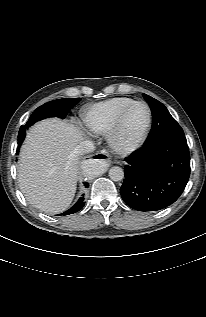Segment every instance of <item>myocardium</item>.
Here are the masks:
<instances>
[{
  "label": "myocardium",
  "instance_id": "1",
  "mask_svg": "<svg viewBox=\"0 0 206 317\" xmlns=\"http://www.w3.org/2000/svg\"><path fill=\"white\" fill-rule=\"evenodd\" d=\"M143 105L145 106L147 110V121L145 124L144 129L142 130L139 137L132 143H124L120 141L119 134L125 119L126 114L129 112V110L135 106V105ZM152 123V112L149 107V105L144 101H133L132 103L128 104L126 107H124L119 114L117 115L111 129L107 133V140L108 143L113 151H115L118 154H130L134 151H136L138 148H140L143 143L145 142L147 135L149 133L150 127Z\"/></svg>",
  "mask_w": 206,
  "mask_h": 317
}]
</instances>
